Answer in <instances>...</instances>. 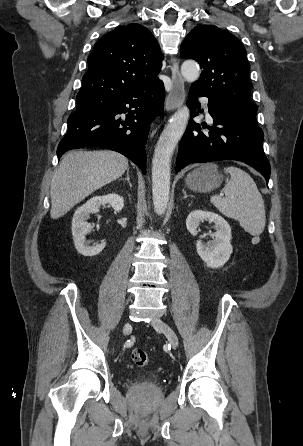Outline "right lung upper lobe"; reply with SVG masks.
Here are the masks:
<instances>
[{
	"mask_svg": "<svg viewBox=\"0 0 303 446\" xmlns=\"http://www.w3.org/2000/svg\"><path fill=\"white\" fill-rule=\"evenodd\" d=\"M162 59L156 39L144 26L129 24L110 31L88 57L77 98L89 105L160 82Z\"/></svg>",
	"mask_w": 303,
	"mask_h": 446,
	"instance_id": "obj_1",
	"label": "right lung upper lobe"
}]
</instances>
